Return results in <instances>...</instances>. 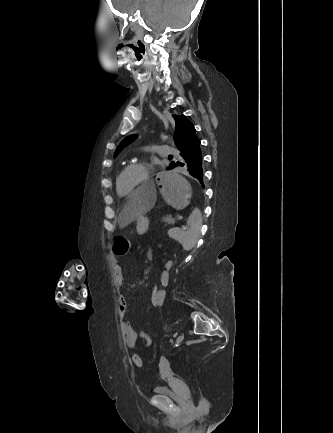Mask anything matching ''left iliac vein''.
<instances>
[{"instance_id": "obj_1", "label": "left iliac vein", "mask_w": 333, "mask_h": 433, "mask_svg": "<svg viewBox=\"0 0 333 433\" xmlns=\"http://www.w3.org/2000/svg\"><path fill=\"white\" fill-rule=\"evenodd\" d=\"M183 340H184V336L183 335H179L176 338V345H179Z\"/></svg>"}]
</instances>
